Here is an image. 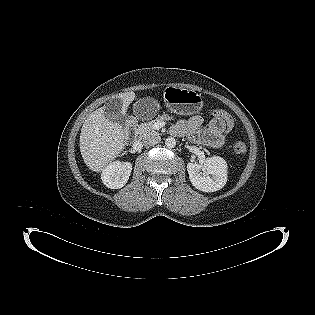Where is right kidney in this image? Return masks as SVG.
<instances>
[{
    "label": "right kidney",
    "instance_id": "obj_1",
    "mask_svg": "<svg viewBox=\"0 0 315 315\" xmlns=\"http://www.w3.org/2000/svg\"><path fill=\"white\" fill-rule=\"evenodd\" d=\"M131 171V163L116 161L103 169L101 179L106 187L119 189L127 183Z\"/></svg>",
    "mask_w": 315,
    "mask_h": 315
}]
</instances>
